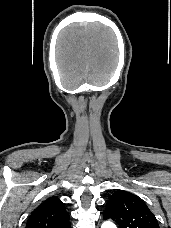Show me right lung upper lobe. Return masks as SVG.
<instances>
[{
    "label": "right lung upper lobe",
    "mask_w": 171,
    "mask_h": 228,
    "mask_svg": "<svg viewBox=\"0 0 171 228\" xmlns=\"http://www.w3.org/2000/svg\"><path fill=\"white\" fill-rule=\"evenodd\" d=\"M70 216L57 197L43 201L30 215L26 228H70Z\"/></svg>",
    "instance_id": "cb5924a9"
}]
</instances>
